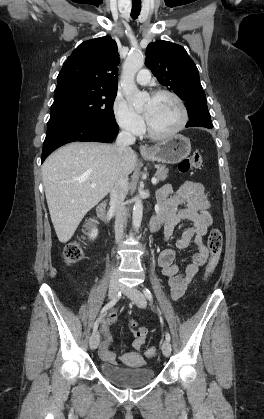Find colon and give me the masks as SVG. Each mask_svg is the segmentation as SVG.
<instances>
[{
	"label": "colon",
	"instance_id": "obj_1",
	"mask_svg": "<svg viewBox=\"0 0 264 419\" xmlns=\"http://www.w3.org/2000/svg\"><path fill=\"white\" fill-rule=\"evenodd\" d=\"M202 164H203V160H202L201 154L199 152H195L179 162L178 170L182 173H187L194 169H199L202 166ZM92 229H93V223L90 222L86 225L85 231L90 232ZM207 245L211 254L208 264L206 266V272H205V277L208 279L209 277L212 276V274L214 273L216 269L220 252H221V248H222V235L219 229L213 228L210 231ZM64 258L68 264L77 263L80 260H82L83 251L80 245L77 243H71L67 245L64 250ZM156 354L157 352L154 347H149L146 350V356L148 358H154Z\"/></svg>",
	"mask_w": 264,
	"mask_h": 419
}]
</instances>
